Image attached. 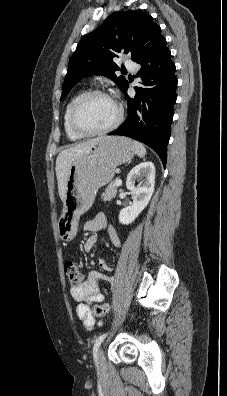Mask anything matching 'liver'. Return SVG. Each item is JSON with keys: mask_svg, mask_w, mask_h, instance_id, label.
<instances>
[{"mask_svg": "<svg viewBox=\"0 0 227 396\" xmlns=\"http://www.w3.org/2000/svg\"><path fill=\"white\" fill-rule=\"evenodd\" d=\"M102 139L103 137H99L76 144L63 150L57 156L55 169L58 181V192L62 202L65 200L66 181L71 164Z\"/></svg>", "mask_w": 227, "mask_h": 396, "instance_id": "6515ba94", "label": "liver"}]
</instances>
